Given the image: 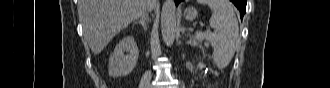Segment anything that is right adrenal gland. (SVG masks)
I'll return each instance as SVG.
<instances>
[{"label": "right adrenal gland", "instance_id": "2a0ac1e0", "mask_svg": "<svg viewBox=\"0 0 330 88\" xmlns=\"http://www.w3.org/2000/svg\"><path fill=\"white\" fill-rule=\"evenodd\" d=\"M148 17L146 16V15H143L141 18H140V20H137V21H135L134 23L135 24H137V23H139V24H141L142 26H143V28L145 29V30H147V22H148Z\"/></svg>", "mask_w": 330, "mask_h": 88}]
</instances>
